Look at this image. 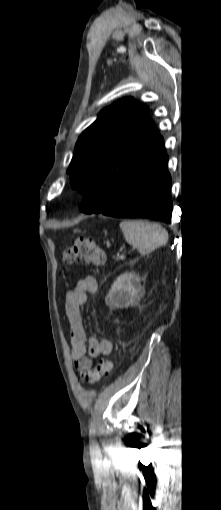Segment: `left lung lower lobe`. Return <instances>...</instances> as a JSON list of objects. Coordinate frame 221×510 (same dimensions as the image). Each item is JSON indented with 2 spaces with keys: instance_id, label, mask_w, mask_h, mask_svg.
I'll list each match as a JSON object with an SVG mask.
<instances>
[{
  "instance_id": "0a47b994",
  "label": "left lung lower lobe",
  "mask_w": 221,
  "mask_h": 510,
  "mask_svg": "<svg viewBox=\"0 0 221 510\" xmlns=\"http://www.w3.org/2000/svg\"><path fill=\"white\" fill-rule=\"evenodd\" d=\"M167 161L165 151L155 156L104 208H92L82 201L79 209L88 214L101 213L112 217H140L169 222L172 201Z\"/></svg>"
}]
</instances>
